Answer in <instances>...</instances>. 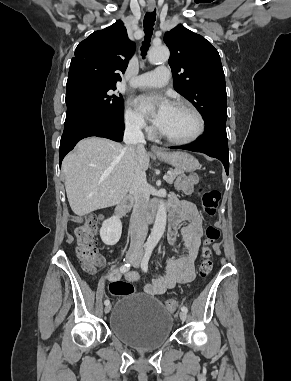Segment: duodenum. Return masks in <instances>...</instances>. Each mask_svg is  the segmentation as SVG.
<instances>
[{"instance_id": "duodenum-1", "label": "duodenum", "mask_w": 291, "mask_h": 381, "mask_svg": "<svg viewBox=\"0 0 291 381\" xmlns=\"http://www.w3.org/2000/svg\"><path fill=\"white\" fill-rule=\"evenodd\" d=\"M133 199L129 196L123 198L115 209V215L121 217L132 206Z\"/></svg>"}]
</instances>
